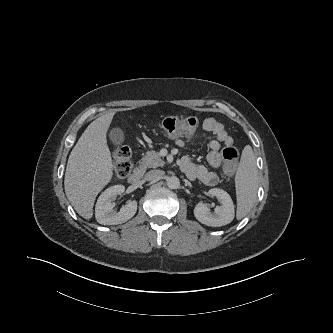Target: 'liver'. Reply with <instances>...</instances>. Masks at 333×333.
I'll use <instances>...</instances> for the list:
<instances>
[{
	"label": "liver",
	"instance_id": "1",
	"mask_svg": "<svg viewBox=\"0 0 333 333\" xmlns=\"http://www.w3.org/2000/svg\"><path fill=\"white\" fill-rule=\"evenodd\" d=\"M115 111L91 122L72 149L65 172V193L76 212L91 219L98 193L113 176V162L107 146L106 132Z\"/></svg>",
	"mask_w": 333,
	"mask_h": 333
}]
</instances>
